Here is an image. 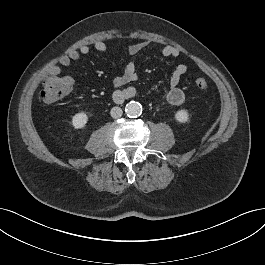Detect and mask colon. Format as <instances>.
<instances>
[{"label":"colon","instance_id":"colon-1","mask_svg":"<svg viewBox=\"0 0 265 265\" xmlns=\"http://www.w3.org/2000/svg\"><path fill=\"white\" fill-rule=\"evenodd\" d=\"M195 85L201 92L208 89V81L204 77L195 78ZM73 87V80L69 76L48 75L42 85L40 99L50 105L67 96Z\"/></svg>","mask_w":265,"mask_h":265}]
</instances>
